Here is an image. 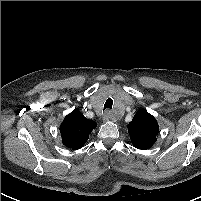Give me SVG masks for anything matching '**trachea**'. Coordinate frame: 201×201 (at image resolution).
Instances as JSON below:
<instances>
[{
  "mask_svg": "<svg viewBox=\"0 0 201 201\" xmlns=\"http://www.w3.org/2000/svg\"><path fill=\"white\" fill-rule=\"evenodd\" d=\"M112 105H113V100L112 98H108L104 104V110L105 109H111L112 108Z\"/></svg>",
  "mask_w": 201,
  "mask_h": 201,
  "instance_id": "obj_1",
  "label": "trachea"
}]
</instances>
